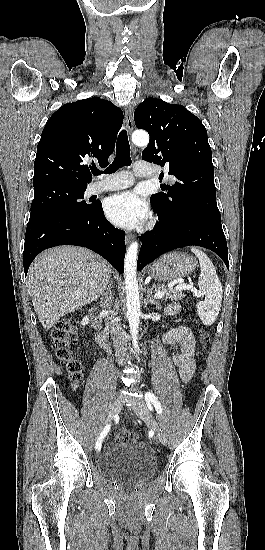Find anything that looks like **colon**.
Instances as JSON below:
<instances>
[{"mask_svg":"<svg viewBox=\"0 0 265 550\" xmlns=\"http://www.w3.org/2000/svg\"><path fill=\"white\" fill-rule=\"evenodd\" d=\"M76 334L77 329L71 318L58 321L52 333L56 355L58 359L67 363L69 376L74 386H77L82 380V366L74 357V351L71 347ZM199 339L202 347L206 348L210 341L209 334L205 330H200ZM114 440L116 443L132 444L136 441V435L129 430L122 429L115 433Z\"/></svg>","mask_w":265,"mask_h":550,"instance_id":"obj_1","label":"colon"}]
</instances>
